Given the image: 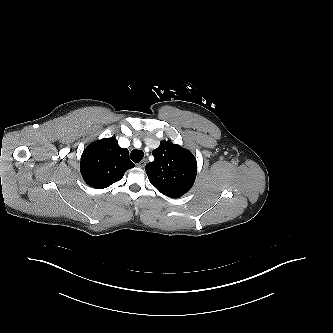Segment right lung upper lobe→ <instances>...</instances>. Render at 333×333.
Instances as JSON below:
<instances>
[{
	"label": "right lung upper lobe",
	"instance_id": "obj_1",
	"mask_svg": "<svg viewBox=\"0 0 333 333\" xmlns=\"http://www.w3.org/2000/svg\"><path fill=\"white\" fill-rule=\"evenodd\" d=\"M134 166L128 149L121 148L116 138L111 137L93 142L83 151L80 172L89 186L103 189L121 180Z\"/></svg>",
	"mask_w": 333,
	"mask_h": 333
}]
</instances>
